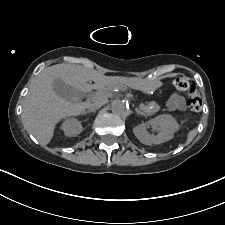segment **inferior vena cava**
<instances>
[{
	"label": "inferior vena cava",
	"mask_w": 225,
	"mask_h": 225,
	"mask_svg": "<svg viewBox=\"0 0 225 225\" xmlns=\"http://www.w3.org/2000/svg\"><path fill=\"white\" fill-rule=\"evenodd\" d=\"M106 98L102 95H98L95 99V101H93V103H90L87 108L89 110H96L99 109L103 104L106 103Z\"/></svg>",
	"instance_id": "602c4592"
}]
</instances>
